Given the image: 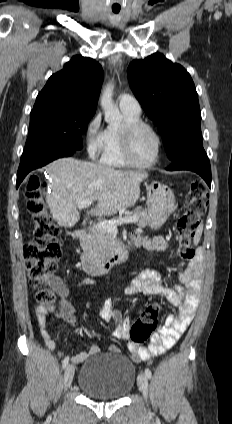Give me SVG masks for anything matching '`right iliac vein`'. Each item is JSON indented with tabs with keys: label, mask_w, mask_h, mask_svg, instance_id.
<instances>
[{
	"label": "right iliac vein",
	"mask_w": 232,
	"mask_h": 424,
	"mask_svg": "<svg viewBox=\"0 0 232 424\" xmlns=\"http://www.w3.org/2000/svg\"><path fill=\"white\" fill-rule=\"evenodd\" d=\"M74 372H75V367L72 364H69L64 372V385L65 388L69 387L73 381V377H74Z\"/></svg>",
	"instance_id": "63e3f726"
}]
</instances>
